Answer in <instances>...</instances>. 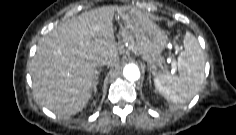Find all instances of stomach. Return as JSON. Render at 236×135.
<instances>
[{"instance_id":"1","label":"stomach","mask_w":236,"mask_h":135,"mask_svg":"<svg viewBox=\"0 0 236 135\" xmlns=\"http://www.w3.org/2000/svg\"><path fill=\"white\" fill-rule=\"evenodd\" d=\"M134 10L128 7H122L118 11V16L124 23L130 22ZM130 30L124 29L123 33H129ZM133 40L136 43L137 51L135 53L140 55L148 62L149 68L152 74L157 76L161 73V57L167 46L168 38L156 25H151L147 29L143 30L139 37H134Z\"/></svg>"}]
</instances>
